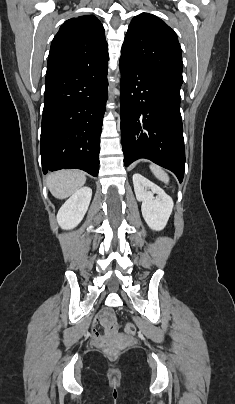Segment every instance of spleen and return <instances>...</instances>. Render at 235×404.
<instances>
[{"label":"spleen","instance_id":"obj_1","mask_svg":"<svg viewBox=\"0 0 235 404\" xmlns=\"http://www.w3.org/2000/svg\"><path fill=\"white\" fill-rule=\"evenodd\" d=\"M150 169H151L152 173L155 175V177L157 179H159L160 181H163L164 183L168 184L169 176L161 167H159V166H157L155 164H151Z\"/></svg>","mask_w":235,"mask_h":404}]
</instances>
